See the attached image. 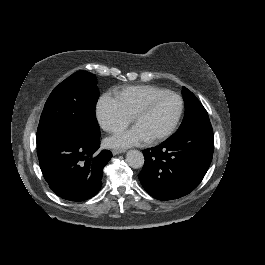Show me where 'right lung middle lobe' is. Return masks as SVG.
Masks as SVG:
<instances>
[{"mask_svg":"<svg viewBox=\"0 0 265 265\" xmlns=\"http://www.w3.org/2000/svg\"><path fill=\"white\" fill-rule=\"evenodd\" d=\"M98 97L94 74L78 71L62 81L45 103L37 129V142L50 135L69 133L99 137L95 115Z\"/></svg>","mask_w":265,"mask_h":265,"instance_id":"obj_1","label":"right lung middle lobe"}]
</instances>
